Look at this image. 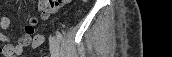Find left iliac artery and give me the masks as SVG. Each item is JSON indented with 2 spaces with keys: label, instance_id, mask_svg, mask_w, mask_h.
Here are the masks:
<instances>
[{
  "label": "left iliac artery",
  "instance_id": "44dca946",
  "mask_svg": "<svg viewBox=\"0 0 172 57\" xmlns=\"http://www.w3.org/2000/svg\"><path fill=\"white\" fill-rule=\"evenodd\" d=\"M57 38L62 40V33L60 31H56Z\"/></svg>",
  "mask_w": 172,
  "mask_h": 57
}]
</instances>
